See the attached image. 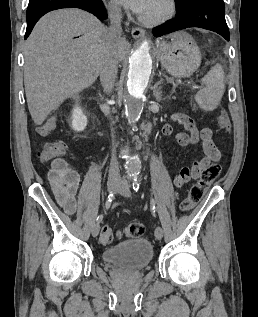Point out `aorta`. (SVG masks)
<instances>
[{
  "mask_svg": "<svg viewBox=\"0 0 258 317\" xmlns=\"http://www.w3.org/2000/svg\"><path fill=\"white\" fill-rule=\"evenodd\" d=\"M148 41H144L130 57L127 95L125 98L126 116L135 123L139 120L144 108L143 96L152 70V58ZM141 162L137 156H131L125 165L129 174L137 175Z\"/></svg>",
  "mask_w": 258,
  "mask_h": 317,
  "instance_id": "1",
  "label": "aorta"
}]
</instances>
